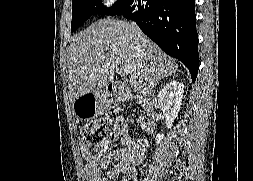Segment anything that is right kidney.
<instances>
[{
	"label": "right kidney",
	"instance_id": "ca27d5eb",
	"mask_svg": "<svg viewBox=\"0 0 253 181\" xmlns=\"http://www.w3.org/2000/svg\"><path fill=\"white\" fill-rule=\"evenodd\" d=\"M184 93V85L178 81H171L158 94V104L163 111L165 124L167 128L173 126V122L180 111L182 98ZM164 138V134H156V143L160 144Z\"/></svg>",
	"mask_w": 253,
	"mask_h": 181
}]
</instances>
